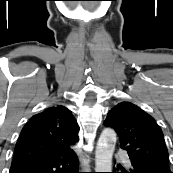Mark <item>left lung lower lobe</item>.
I'll use <instances>...</instances> for the list:
<instances>
[{"instance_id": "left-lung-lower-lobe-1", "label": "left lung lower lobe", "mask_w": 173, "mask_h": 173, "mask_svg": "<svg viewBox=\"0 0 173 173\" xmlns=\"http://www.w3.org/2000/svg\"><path fill=\"white\" fill-rule=\"evenodd\" d=\"M132 168L130 169L129 172L124 171L123 173H162L160 170L146 166V165H141L135 162H131ZM113 173H117L114 172Z\"/></svg>"}]
</instances>
